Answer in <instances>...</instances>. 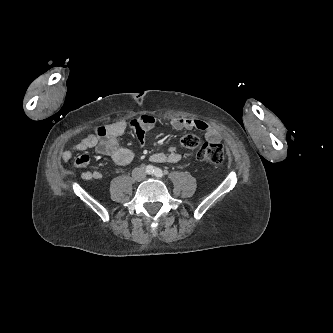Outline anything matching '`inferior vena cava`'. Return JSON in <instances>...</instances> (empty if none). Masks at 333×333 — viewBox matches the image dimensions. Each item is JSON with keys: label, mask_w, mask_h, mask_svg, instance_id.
Masks as SVG:
<instances>
[{"label": "inferior vena cava", "mask_w": 333, "mask_h": 333, "mask_svg": "<svg viewBox=\"0 0 333 333\" xmlns=\"http://www.w3.org/2000/svg\"><path fill=\"white\" fill-rule=\"evenodd\" d=\"M132 176L135 180L140 181L146 177V172L143 168H135L132 171Z\"/></svg>", "instance_id": "obj_1"}]
</instances>
